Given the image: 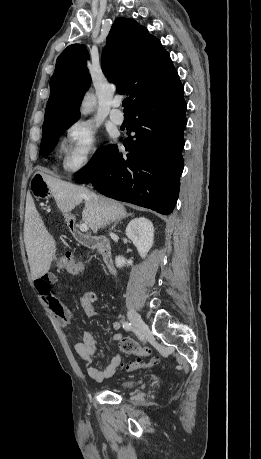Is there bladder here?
Listing matches in <instances>:
<instances>
[{
  "mask_svg": "<svg viewBox=\"0 0 261 459\" xmlns=\"http://www.w3.org/2000/svg\"><path fill=\"white\" fill-rule=\"evenodd\" d=\"M134 385V382L133 381H121V382H118L116 384H114V386H117V387H120V388H129V387H132Z\"/></svg>",
  "mask_w": 261,
  "mask_h": 459,
  "instance_id": "obj_1",
  "label": "bladder"
}]
</instances>
